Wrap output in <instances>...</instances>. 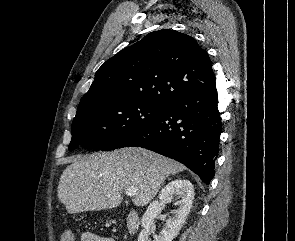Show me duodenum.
<instances>
[{"label": "duodenum", "mask_w": 295, "mask_h": 241, "mask_svg": "<svg viewBox=\"0 0 295 241\" xmlns=\"http://www.w3.org/2000/svg\"><path fill=\"white\" fill-rule=\"evenodd\" d=\"M138 215L135 212H131L127 220V230L130 233L136 232L138 229Z\"/></svg>", "instance_id": "410a0bca"}]
</instances>
